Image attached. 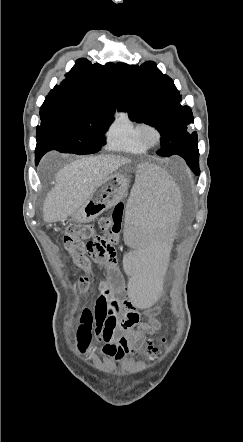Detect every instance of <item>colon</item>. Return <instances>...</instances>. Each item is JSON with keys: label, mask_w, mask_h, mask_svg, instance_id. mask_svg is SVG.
I'll use <instances>...</instances> for the list:
<instances>
[{"label": "colon", "mask_w": 243, "mask_h": 442, "mask_svg": "<svg viewBox=\"0 0 243 442\" xmlns=\"http://www.w3.org/2000/svg\"><path fill=\"white\" fill-rule=\"evenodd\" d=\"M124 204L119 202L115 205L109 216L99 222L101 230L105 233L102 238H95V231L91 225L72 223L69 224L64 233L63 244L71 256L74 264L83 270L78 286L86 291L91 285L89 256L97 260H110L114 253V245L117 243L123 224ZM127 310V306L123 308ZM132 322H130L131 324ZM159 345L153 342L148 343L147 353L154 354L158 351Z\"/></svg>", "instance_id": "5ec220e1"}]
</instances>
